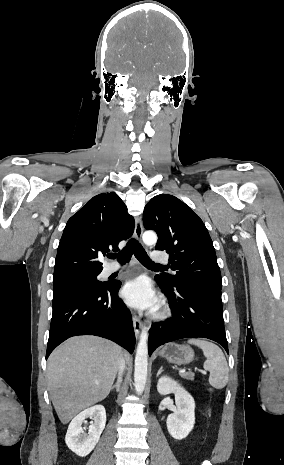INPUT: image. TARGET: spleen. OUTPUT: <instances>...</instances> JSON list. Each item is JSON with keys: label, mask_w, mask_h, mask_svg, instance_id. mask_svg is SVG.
Returning a JSON list of instances; mask_svg holds the SVG:
<instances>
[{"label": "spleen", "mask_w": 284, "mask_h": 465, "mask_svg": "<svg viewBox=\"0 0 284 465\" xmlns=\"http://www.w3.org/2000/svg\"><path fill=\"white\" fill-rule=\"evenodd\" d=\"M190 345H196L199 349H202L206 361L203 365L205 371H209V383L214 389H224L228 383L229 369L227 361L222 353L221 349L209 343L208 339L199 341V339H190L188 341Z\"/></svg>", "instance_id": "spleen-1"}]
</instances>
